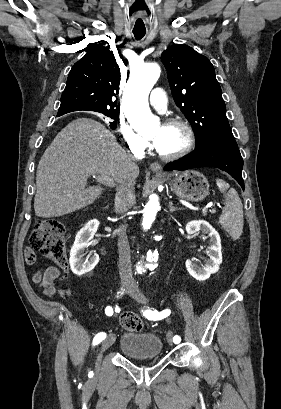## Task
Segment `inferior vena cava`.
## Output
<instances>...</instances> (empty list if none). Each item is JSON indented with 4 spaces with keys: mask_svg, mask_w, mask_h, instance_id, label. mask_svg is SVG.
Returning a JSON list of instances; mask_svg holds the SVG:
<instances>
[{
    "mask_svg": "<svg viewBox=\"0 0 281 409\" xmlns=\"http://www.w3.org/2000/svg\"><path fill=\"white\" fill-rule=\"evenodd\" d=\"M131 160H138V158L132 156ZM135 184V178H129V180H125V182H120V186L116 192L117 196H119L121 200H128V198L134 196ZM117 235L120 279L121 281H125V283H128V281L134 283L131 271L130 247L126 235V227H124V225L119 227Z\"/></svg>",
    "mask_w": 281,
    "mask_h": 409,
    "instance_id": "1",
    "label": "inferior vena cava"
}]
</instances>
